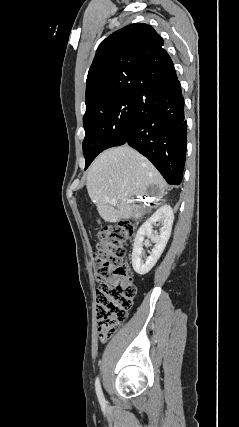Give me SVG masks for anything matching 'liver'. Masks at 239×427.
I'll list each match as a JSON object with an SVG mask.
<instances>
[{
    "label": "liver",
    "mask_w": 239,
    "mask_h": 427,
    "mask_svg": "<svg viewBox=\"0 0 239 427\" xmlns=\"http://www.w3.org/2000/svg\"><path fill=\"white\" fill-rule=\"evenodd\" d=\"M150 186H156L163 196L166 183L161 174L128 145L102 152L88 170V194L106 222L134 217L139 208L133 204L134 197L148 194ZM112 199L117 200L116 205L110 203Z\"/></svg>",
    "instance_id": "liver-1"
}]
</instances>
